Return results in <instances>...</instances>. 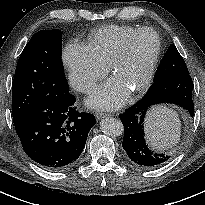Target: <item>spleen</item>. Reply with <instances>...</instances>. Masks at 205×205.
Returning a JSON list of instances; mask_svg holds the SVG:
<instances>
[{"mask_svg": "<svg viewBox=\"0 0 205 205\" xmlns=\"http://www.w3.org/2000/svg\"><path fill=\"white\" fill-rule=\"evenodd\" d=\"M180 119L176 111L167 107H156L148 112L145 120L146 138L159 150L168 149L180 140Z\"/></svg>", "mask_w": 205, "mask_h": 205, "instance_id": "spleen-1", "label": "spleen"}]
</instances>
